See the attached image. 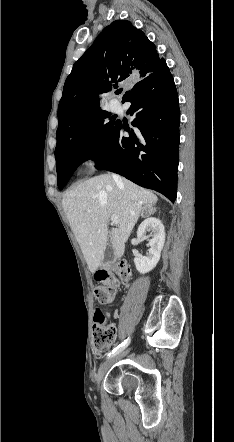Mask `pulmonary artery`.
I'll use <instances>...</instances> for the list:
<instances>
[{"label":"pulmonary artery","instance_id":"e3ab8cb5","mask_svg":"<svg viewBox=\"0 0 234 442\" xmlns=\"http://www.w3.org/2000/svg\"><path fill=\"white\" fill-rule=\"evenodd\" d=\"M109 107L113 112H118L120 110V104L116 100H111L109 103Z\"/></svg>","mask_w":234,"mask_h":442}]
</instances>
